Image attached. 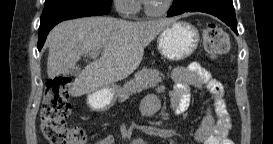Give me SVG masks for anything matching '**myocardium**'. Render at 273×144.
<instances>
[{
	"mask_svg": "<svg viewBox=\"0 0 273 144\" xmlns=\"http://www.w3.org/2000/svg\"><path fill=\"white\" fill-rule=\"evenodd\" d=\"M173 3H174V0H166L164 4L158 9H152L148 6L147 3H144L143 8L145 13L149 15H161V14L167 13L172 7Z\"/></svg>",
	"mask_w": 273,
	"mask_h": 144,
	"instance_id": "myocardium-1",
	"label": "myocardium"
}]
</instances>
